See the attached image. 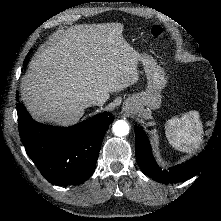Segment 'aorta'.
I'll list each match as a JSON object with an SVG mask.
<instances>
[{
  "label": "aorta",
  "mask_w": 221,
  "mask_h": 221,
  "mask_svg": "<svg viewBox=\"0 0 221 221\" xmlns=\"http://www.w3.org/2000/svg\"><path fill=\"white\" fill-rule=\"evenodd\" d=\"M112 130L118 137L126 136L129 133V125L124 120H118L113 124Z\"/></svg>",
  "instance_id": "1"
}]
</instances>
